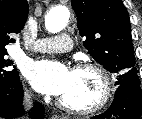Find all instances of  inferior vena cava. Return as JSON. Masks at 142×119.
Masks as SVG:
<instances>
[{
    "mask_svg": "<svg viewBox=\"0 0 142 119\" xmlns=\"http://www.w3.org/2000/svg\"><path fill=\"white\" fill-rule=\"evenodd\" d=\"M23 107L26 111L30 110L32 108V99L31 94L28 91H25L24 94V101H23ZM27 117H22V119H26Z\"/></svg>",
    "mask_w": 142,
    "mask_h": 119,
    "instance_id": "inferior-vena-cava-1",
    "label": "inferior vena cava"
}]
</instances>
